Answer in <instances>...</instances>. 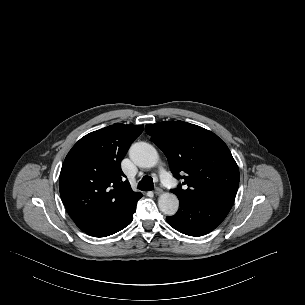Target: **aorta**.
<instances>
[{"label":"aorta","mask_w":305,"mask_h":305,"mask_svg":"<svg viewBox=\"0 0 305 305\" xmlns=\"http://www.w3.org/2000/svg\"><path fill=\"white\" fill-rule=\"evenodd\" d=\"M130 159L139 167L152 168L158 162L155 148L145 142L134 143L129 150ZM159 209L168 216L174 215L179 208V201L172 193H163L158 199Z\"/></svg>","instance_id":"obj_1"}]
</instances>
